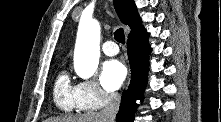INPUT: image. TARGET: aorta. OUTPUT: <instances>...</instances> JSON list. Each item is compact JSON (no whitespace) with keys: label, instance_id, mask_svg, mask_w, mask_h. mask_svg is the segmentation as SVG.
I'll return each instance as SVG.
<instances>
[{"label":"aorta","instance_id":"aorta-1","mask_svg":"<svg viewBox=\"0 0 221 122\" xmlns=\"http://www.w3.org/2000/svg\"><path fill=\"white\" fill-rule=\"evenodd\" d=\"M100 25L97 20L81 21L74 51V69L84 79L93 76L99 64Z\"/></svg>","mask_w":221,"mask_h":122}]
</instances>
